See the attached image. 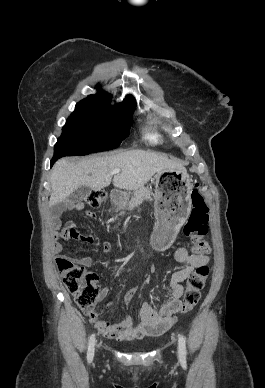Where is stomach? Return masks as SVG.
Returning <instances> with one entry per match:
<instances>
[{"label":"stomach","mask_w":265,"mask_h":388,"mask_svg":"<svg viewBox=\"0 0 265 388\" xmlns=\"http://www.w3.org/2000/svg\"><path fill=\"white\" fill-rule=\"evenodd\" d=\"M192 185L186 170H163L155 175L153 243L165 250L175 241L191 209Z\"/></svg>","instance_id":"1"}]
</instances>
